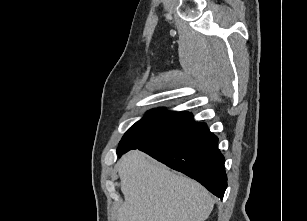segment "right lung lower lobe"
Here are the masks:
<instances>
[{
    "label": "right lung lower lobe",
    "mask_w": 307,
    "mask_h": 221,
    "mask_svg": "<svg viewBox=\"0 0 307 221\" xmlns=\"http://www.w3.org/2000/svg\"><path fill=\"white\" fill-rule=\"evenodd\" d=\"M217 142L218 138L209 131L206 124L198 123L174 138L138 149L197 180L223 199L227 176L225 159Z\"/></svg>",
    "instance_id": "obj_1"
}]
</instances>
